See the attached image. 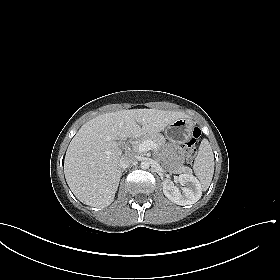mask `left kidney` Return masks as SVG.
<instances>
[{"instance_id":"left-kidney-1","label":"left kidney","mask_w":280,"mask_h":280,"mask_svg":"<svg viewBox=\"0 0 280 280\" xmlns=\"http://www.w3.org/2000/svg\"><path fill=\"white\" fill-rule=\"evenodd\" d=\"M180 185L185 186L181 190L170 181L163 182V193L172 202L178 205H191L197 202L202 195L200 182L191 174H180Z\"/></svg>"}]
</instances>
